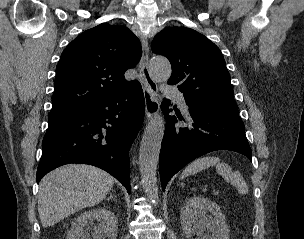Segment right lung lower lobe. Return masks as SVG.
Here are the masks:
<instances>
[{
	"label": "right lung lower lobe",
	"mask_w": 304,
	"mask_h": 239,
	"mask_svg": "<svg viewBox=\"0 0 304 239\" xmlns=\"http://www.w3.org/2000/svg\"><path fill=\"white\" fill-rule=\"evenodd\" d=\"M144 111L142 87L136 81L81 111L49 119L37 183L61 165L83 163L107 171L130 193L129 149Z\"/></svg>",
	"instance_id": "obj_1"
}]
</instances>
